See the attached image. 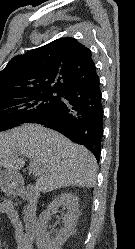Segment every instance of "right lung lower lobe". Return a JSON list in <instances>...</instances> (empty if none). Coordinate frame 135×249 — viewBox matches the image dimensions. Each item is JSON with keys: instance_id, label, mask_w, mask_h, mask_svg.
Here are the masks:
<instances>
[{"instance_id": "right-lung-lower-lobe-1", "label": "right lung lower lobe", "mask_w": 135, "mask_h": 249, "mask_svg": "<svg viewBox=\"0 0 135 249\" xmlns=\"http://www.w3.org/2000/svg\"><path fill=\"white\" fill-rule=\"evenodd\" d=\"M62 97V99H61ZM59 100L27 123H38L87 147L100 158L103 137V107L99 77L77 83L62 92Z\"/></svg>"}]
</instances>
